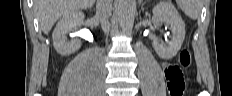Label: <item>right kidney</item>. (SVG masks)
Returning <instances> with one entry per match:
<instances>
[{
	"label": "right kidney",
	"instance_id": "right-kidney-1",
	"mask_svg": "<svg viewBox=\"0 0 232 96\" xmlns=\"http://www.w3.org/2000/svg\"><path fill=\"white\" fill-rule=\"evenodd\" d=\"M84 21V14L76 11L63 15L60 21L57 23L53 34V45L56 51L63 56L70 55L76 52L81 47L80 40H73L67 42V33L80 27Z\"/></svg>",
	"mask_w": 232,
	"mask_h": 96
}]
</instances>
